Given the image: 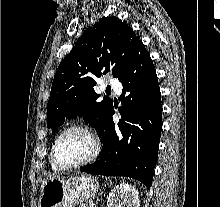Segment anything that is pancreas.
I'll return each mask as SVG.
<instances>
[{
  "label": "pancreas",
  "instance_id": "cf45deb5",
  "mask_svg": "<svg viewBox=\"0 0 220 207\" xmlns=\"http://www.w3.org/2000/svg\"><path fill=\"white\" fill-rule=\"evenodd\" d=\"M80 207H88L85 203H81Z\"/></svg>",
  "mask_w": 220,
  "mask_h": 207
}]
</instances>
